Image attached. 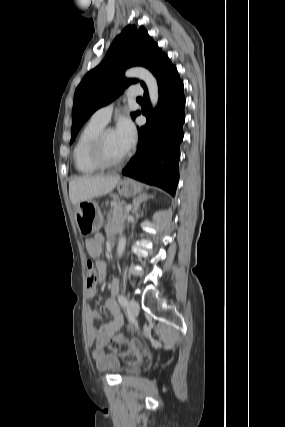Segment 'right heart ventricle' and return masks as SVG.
Instances as JSON below:
<instances>
[{
  "instance_id": "right-heart-ventricle-1",
  "label": "right heart ventricle",
  "mask_w": 285,
  "mask_h": 427,
  "mask_svg": "<svg viewBox=\"0 0 285 427\" xmlns=\"http://www.w3.org/2000/svg\"><path fill=\"white\" fill-rule=\"evenodd\" d=\"M105 125L91 118L78 135L73 148V162L75 169L83 175H92L99 171V168L90 160L89 149L94 138Z\"/></svg>"
}]
</instances>
